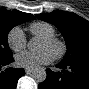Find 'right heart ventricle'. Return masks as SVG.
<instances>
[{"label":"right heart ventricle","instance_id":"right-heart-ventricle-1","mask_svg":"<svg viewBox=\"0 0 89 89\" xmlns=\"http://www.w3.org/2000/svg\"><path fill=\"white\" fill-rule=\"evenodd\" d=\"M30 32L37 37H52L55 35L54 27L47 22H34L29 27Z\"/></svg>","mask_w":89,"mask_h":89}]
</instances>
